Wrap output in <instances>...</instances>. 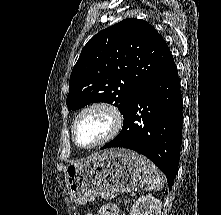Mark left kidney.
Segmentation results:
<instances>
[{"label": "left kidney", "instance_id": "1", "mask_svg": "<svg viewBox=\"0 0 221 215\" xmlns=\"http://www.w3.org/2000/svg\"><path fill=\"white\" fill-rule=\"evenodd\" d=\"M130 215H161V201L152 194L140 196L133 204Z\"/></svg>", "mask_w": 221, "mask_h": 215}]
</instances>
